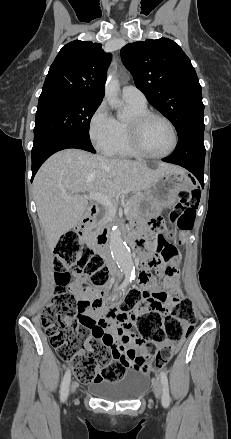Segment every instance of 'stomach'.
<instances>
[{
    "label": "stomach",
    "instance_id": "0dacf381",
    "mask_svg": "<svg viewBox=\"0 0 231 439\" xmlns=\"http://www.w3.org/2000/svg\"><path fill=\"white\" fill-rule=\"evenodd\" d=\"M192 186V177L183 170L161 176L141 195V212L156 214L172 208L179 201V193L189 191Z\"/></svg>",
    "mask_w": 231,
    "mask_h": 439
}]
</instances>
